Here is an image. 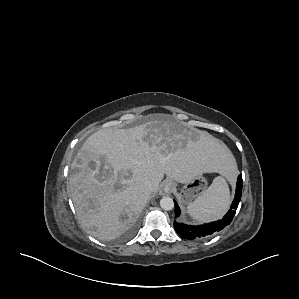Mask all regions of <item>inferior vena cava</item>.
Segmentation results:
<instances>
[{
  "mask_svg": "<svg viewBox=\"0 0 299 299\" xmlns=\"http://www.w3.org/2000/svg\"><path fill=\"white\" fill-rule=\"evenodd\" d=\"M146 188L150 191L152 189V185L150 182H146Z\"/></svg>",
  "mask_w": 299,
  "mask_h": 299,
  "instance_id": "1",
  "label": "inferior vena cava"
}]
</instances>
